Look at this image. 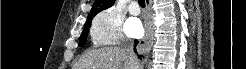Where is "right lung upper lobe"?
Segmentation results:
<instances>
[{"instance_id": "1", "label": "right lung upper lobe", "mask_w": 246, "mask_h": 69, "mask_svg": "<svg viewBox=\"0 0 246 69\" xmlns=\"http://www.w3.org/2000/svg\"><path fill=\"white\" fill-rule=\"evenodd\" d=\"M114 1L115 0H95L86 22L92 21L93 17L100 11L111 7Z\"/></svg>"}]
</instances>
